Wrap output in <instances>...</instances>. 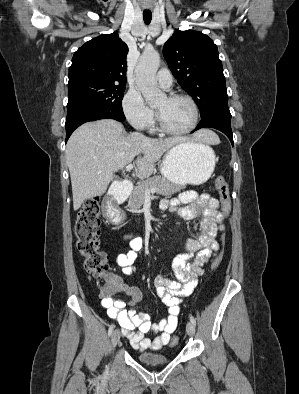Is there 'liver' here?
<instances>
[{"instance_id":"6515ba94","label":"liver","mask_w":299,"mask_h":394,"mask_svg":"<svg viewBox=\"0 0 299 394\" xmlns=\"http://www.w3.org/2000/svg\"><path fill=\"white\" fill-rule=\"evenodd\" d=\"M187 140L183 137L150 138L139 132L125 135L123 125L113 119L81 125L66 145L74 210H78L85 200L103 195L113 180V173L122 170L135 157L136 175L148 178L165 152ZM193 141L220 142L209 130L196 132Z\"/></svg>"}]
</instances>
